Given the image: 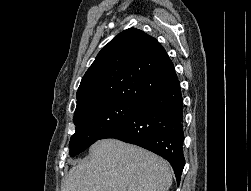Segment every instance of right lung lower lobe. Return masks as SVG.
Returning a JSON list of instances; mask_svg holds the SVG:
<instances>
[{"instance_id":"obj_1","label":"right lung lower lobe","mask_w":251,"mask_h":191,"mask_svg":"<svg viewBox=\"0 0 251 191\" xmlns=\"http://www.w3.org/2000/svg\"><path fill=\"white\" fill-rule=\"evenodd\" d=\"M183 124V98L177 80L146 99L101 139H119L162 156L170 162L179 184L185 165Z\"/></svg>"}]
</instances>
